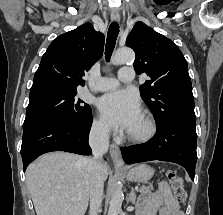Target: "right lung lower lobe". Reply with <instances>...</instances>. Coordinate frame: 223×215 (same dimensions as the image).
I'll return each mask as SVG.
<instances>
[{
  "label": "right lung lower lobe",
  "mask_w": 223,
  "mask_h": 215,
  "mask_svg": "<svg viewBox=\"0 0 223 215\" xmlns=\"http://www.w3.org/2000/svg\"><path fill=\"white\" fill-rule=\"evenodd\" d=\"M92 118L81 124L67 121H45L23 127L21 155L23 171L38 156L51 151L90 155L88 144Z\"/></svg>",
  "instance_id": "98d812e1"
}]
</instances>
